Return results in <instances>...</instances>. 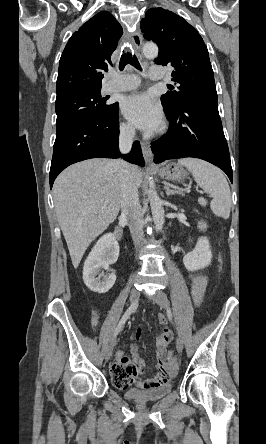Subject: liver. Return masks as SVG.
Segmentation results:
<instances>
[{
	"label": "liver",
	"instance_id": "1",
	"mask_svg": "<svg viewBox=\"0 0 266 444\" xmlns=\"http://www.w3.org/2000/svg\"><path fill=\"white\" fill-rule=\"evenodd\" d=\"M130 166L140 187L142 172L137 166ZM121 196L122 176L115 160H85L71 165L56 178L55 210L74 268L90 243L116 219Z\"/></svg>",
	"mask_w": 266,
	"mask_h": 444
}]
</instances>
